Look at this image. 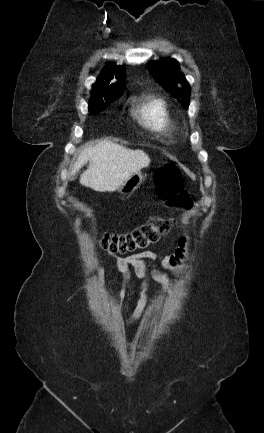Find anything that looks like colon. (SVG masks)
<instances>
[{
    "mask_svg": "<svg viewBox=\"0 0 264 433\" xmlns=\"http://www.w3.org/2000/svg\"><path fill=\"white\" fill-rule=\"evenodd\" d=\"M157 195L170 206H188L191 202L184 188L180 169L174 164L162 166L154 178ZM171 221L165 218H153L140 228L123 234L106 233L102 246L113 254H127L145 250L156 244L170 229Z\"/></svg>",
    "mask_w": 264,
    "mask_h": 433,
    "instance_id": "1",
    "label": "colon"
}]
</instances>
